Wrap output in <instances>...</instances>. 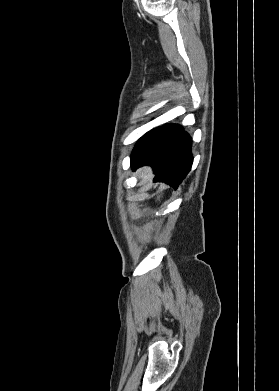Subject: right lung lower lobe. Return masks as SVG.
Instances as JSON below:
<instances>
[{"label":"right lung lower lobe","instance_id":"right-lung-lower-lobe-1","mask_svg":"<svg viewBox=\"0 0 279 391\" xmlns=\"http://www.w3.org/2000/svg\"><path fill=\"white\" fill-rule=\"evenodd\" d=\"M191 137L178 124H166L146 133L131 154L133 170L152 165L154 181L177 188L189 173L193 156Z\"/></svg>","mask_w":279,"mask_h":391}]
</instances>
